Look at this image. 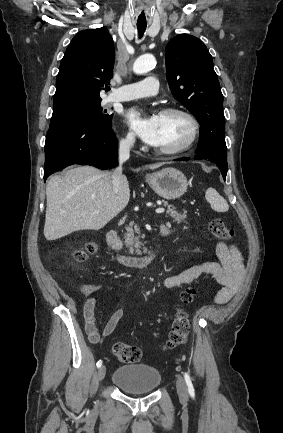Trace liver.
<instances>
[{
  "label": "liver",
  "instance_id": "obj_1",
  "mask_svg": "<svg viewBox=\"0 0 283 433\" xmlns=\"http://www.w3.org/2000/svg\"><path fill=\"white\" fill-rule=\"evenodd\" d=\"M161 164H151L150 168ZM46 196L44 237L55 241L74 231L103 229L127 206L130 188L123 176L118 192H114L111 172L94 166H76L67 170L65 176H51Z\"/></svg>",
  "mask_w": 283,
  "mask_h": 433
}]
</instances>
